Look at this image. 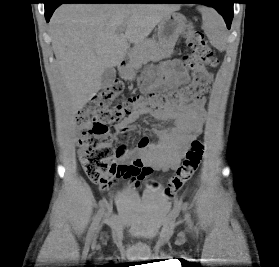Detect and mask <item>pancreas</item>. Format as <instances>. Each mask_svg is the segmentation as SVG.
Instances as JSON below:
<instances>
[{"mask_svg": "<svg viewBox=\"0 0 279 267\" xmlns=\"http://www.w3.org/2000/svg\"><path fill=\"white\" fill-rule=\"evenodd\" d=\"M171 51H162L158 48L155 40L147 39L133 47L131 50L132 65L139 68L143 63L148 61L160 60L170 55Z\"/></svg>", "mask_w": 279, "mask_h": 267, "instance_id": "obj_1", "label": "pancreas"}]
</instances>
